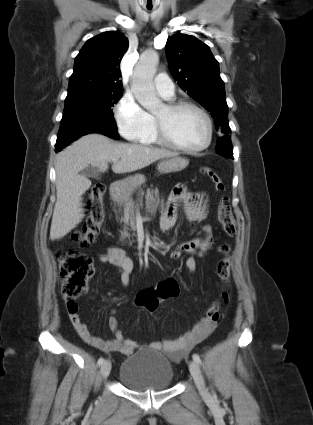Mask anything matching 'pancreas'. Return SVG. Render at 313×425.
<instances>
[{"label":"pancreas","instance_id":"pancreas-1","mask_svg":"<svg viewBox=\"0 0 313 425\" xmlns=\"http://www.w3.org/2000/svg\"><path fill=\"white\" fill-rule=\"evenodd\" d=\"M138 195H141V197L139 198V201H142V196L144 195V191L141 189ZM145 199H146L147 209L152 212L156 211L159 204L163 203V200L160 201L159 199V191L157 189L154 191L147 189ZM137 207H138V204H136L131 198L126 200L124 205V216L122 218V221L125 223V226H124L123 232H121V237H120L121 241H124L125 238H129L130 236V234L127 231L126 225L130 226L131 230L133 231L136 230L135 212Z\"/></svg>","mask_w":313,"mask_h":425}]
</instances>
